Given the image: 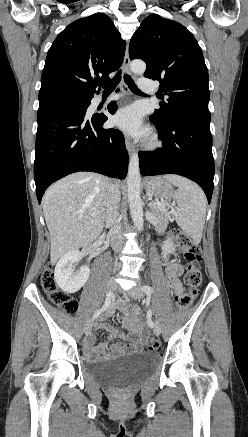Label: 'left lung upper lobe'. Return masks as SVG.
<instances>
[{
    "instance_id": "1",
    "label": "left lung upper lobe",
    "mask_w": 248,
    "mask_h": 437,
    "mask_svg": "<svg viewBox=\"0 0 248 437\" xmlns=\"http://www.w3.org/2000/svg\"><path fill=\"white\" fill-rule=\"evenodd\" d=\"M129 56L145 61L144 76L159 80V92L168 96L154 113L161 122H169L180 112H209L208 71L202 50L183 25L151 14L131 38Z\"/></svg>"
}]
</instances>
